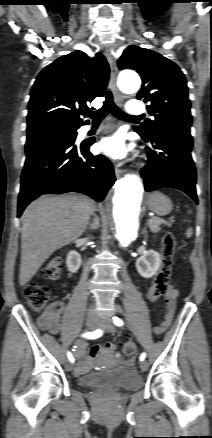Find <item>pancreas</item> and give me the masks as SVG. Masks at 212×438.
Segmentation results:
<instances>
[{"instance_id":"pancreas-1","label":"pancreas","mask_w":212,"mask_h":438,"mask_svg":"<svg viewBox=\"0 0 212 438\" xmlns=\"http://www.w3.org/2000/svg\"><path fill=\"white\" fill-rule=\"evenodd\" d=\"M148 225H149L151 232H153V233H156V232L161 230V228H160L161 221L157 217H153V218L149 219Z\"/></svg>"}]
</instances>
